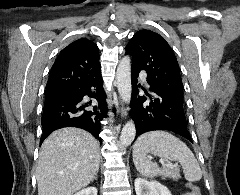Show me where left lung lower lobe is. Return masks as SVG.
<instances>
[{"label": "left lung lower lobe", "mask_w": 240, "mask_h": 195, "mask_svg": "<svg viewBox=\"0 0 240 195\" xmlns=\"http://www.w3.org/2000/svg\"><path fill=\"white\" fill-rule=\"evenodd\" d=\"M138 74V71L131 69L133 94L139 92L137 85ZM149 85L153 93V95H149L146 92L151 100L150 103L145 104L146 98L143 96L132 100L130 104V116L134 120L137 136L153 130H169L182 135L192 142L187 130L183 100L166 93L158 85Z\"/></svg>", "instance_id": "obj_1"}]
</instances>
